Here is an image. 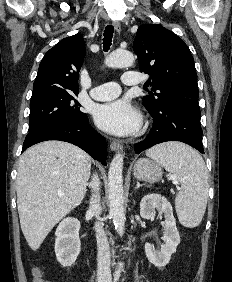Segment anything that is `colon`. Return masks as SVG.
I'll use <instances>...</instances> for the list:
<instances>
[{
  "label": "colon",
  "mask_w": 232,
  "mask_h": 282,
  "mask_svg": "<svg viewBox=\"0 0 232 282\" xmlns=\"http://www.w3.org/2000/svg\"><path fill=\"white\" fill-rule=\"evenodd\" d=\"M34 282H43L41 278V271L39 269L35 271Z\"/></svg>",
  "instance_id": "5ec220e1"
}]
</instances>
